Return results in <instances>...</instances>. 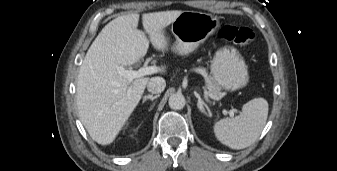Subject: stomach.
Here are the masks:
<instances>
[{
  "mask_svg": "<svg viewBox=\"0 0 337 171\" xmlns=\"http://www.w3.org/2000/svg\"><path fill=\"white\" fill-rule=\"evenodd\" d=\"M219 27V20L211 14L183 11L173 22L171 31L176 38L173 50L188 55ZM212 78L222 88L235 91L249 80L247 66L235 48L219 49L211 61Z\"/></svg>",
  "mask_w": 337,
  "mask_h": 171,
  "instance_id": "obj_1",
  "label": "stomach"
}]
</instances>
